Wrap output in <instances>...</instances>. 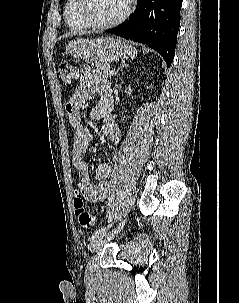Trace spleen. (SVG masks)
<instances>
[{
  "mask_svg": "<svg viewBox=\"0 0 239 303\" xmlns=\"http://www.w3.org/2000/svg\"><path fill=\"white\" fill-rule=\"evenodd\" d=\"M126 54L131 57V59H134L137 55V49L131 45L126 46Z\"/></svg>",
  "mask_w": 239,
  "mask_h": 303,
  "instance_id": "1",
  "label": "spleen"
}]
</instances>
